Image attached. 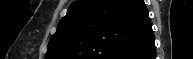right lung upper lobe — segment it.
Returning <instances> with one entry per match:
<instances>
[{
    "label": "right lung upper lobe",
    "mask_w": 193,
    "mask_h": 59,
    "mask_svg": "<svg viewBox=\"0 0 193 59\" xmlns=\"http://www.w3.org/2000/svg\"><path fill=\"white\" fill-rule=\"evenodd\" d=\"M152 34L144 0H79L59 21L45 59H119Z\"/></svg>",
    "instance_id": "right-lung-upper-lobe-1"
}]
</instances>
